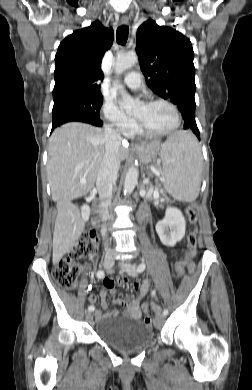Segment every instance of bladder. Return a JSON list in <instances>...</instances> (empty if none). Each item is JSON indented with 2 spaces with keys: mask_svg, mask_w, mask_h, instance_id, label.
<instances>
[{
  "mask_svg": "<svg viewBox=\"0 0 252 390\" xmlns=\"http://www.w3.org/2000/svg\"><path fill=\"white\" fill-rule=\"evenodd\" d=\"M95 334L107 345L123 352L143 349L154 339V332L150 326L130 319L98 320Z\"/></svg>",
  "mask_w": 252,
  "mask_h": 390,
  "instance_id": "1",
  "label": "bladder"
}]
</instances>
